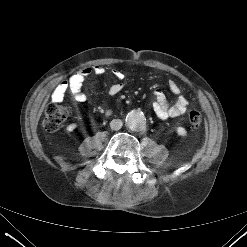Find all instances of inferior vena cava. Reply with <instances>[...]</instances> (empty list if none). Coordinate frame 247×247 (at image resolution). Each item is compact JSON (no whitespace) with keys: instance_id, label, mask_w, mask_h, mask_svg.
Wrapping results in <instances>:
<instances>
[{"instance_id":"602c4592","label":"inferior vena cava","mask_w":247,"mask_h":247,"mask_svg":"<svg viewBox=\"0 0 247 247\" xmlns=\"http://www.w3.org/2000/svg\"><path fill=\"white\" fill-rule=\"evenodd\" d=\"M122 125H123V122L120 119H113L110 122V127L112 130H119L121 129Z\"/></svg>"}]
</instances>
